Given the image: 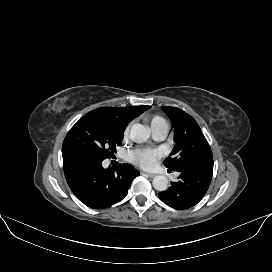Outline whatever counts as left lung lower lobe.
<instances>
[{"label": "left lung lower lobe", "mask_w": 272, "mask_h": 272, "mask_svg": "<svg viewBox=\"0 0 272 272\" xmlns=\"http://www.w3.org/2000/svg\"><path fill=\"white\" fill-rule=\"evenodd\" d=\"M177 182L168 190L160 192L159 198L175 209H188L196 205L205 195L213 173V160L182 165Z\"/></svg>", "instance_id": "left-lung-lower-lobe-1"}]
</instances>
